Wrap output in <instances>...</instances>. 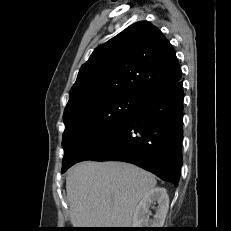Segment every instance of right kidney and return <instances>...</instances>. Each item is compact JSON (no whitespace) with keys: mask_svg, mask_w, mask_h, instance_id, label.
I'll list each match as a JSON object with an SVG mask.
<instances>
[{"mask_svg":"<svg viewBox=\"0 0 231 231\" xmlns=\"http://www.w3.org/2000/svg\"><path fill=\"white\" fill-rule=\"evenodd\" d=\"M152 204L155 207V215L153 219L149 216L151 212L149 208ZM169 208V197L165 188L156 187L150 190L137 205L133 216L134 228H162L166 214Z\"/></svg>","mask_w":231,"mask_h":231,"instance_id":"right-kidney-1","label":"right kidney"}]
</instances>
